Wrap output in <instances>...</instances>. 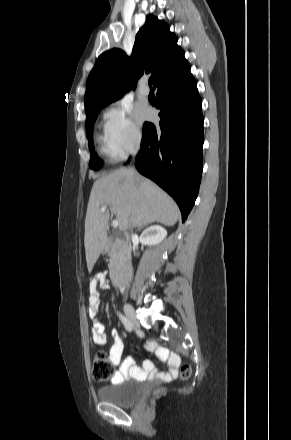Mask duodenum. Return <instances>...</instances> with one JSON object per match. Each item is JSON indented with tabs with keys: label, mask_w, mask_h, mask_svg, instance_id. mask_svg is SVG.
<instances>
[{
	"label": "duodenum",
	"mask_w": 291,
	"mask_h": 440,
	"mask_svg": "<svg viewBox=\"0 0 291 440\" xmlns=\"http://www.w3.org/2000/svg\"><path fill=\"white\" fill-rule=\"evenodd\" d=\"M132 277V267L128 259L123 258L110 269V278L115 285H122Z\"/></svg>",
	"instance_id": "1"
}]
</instances>
